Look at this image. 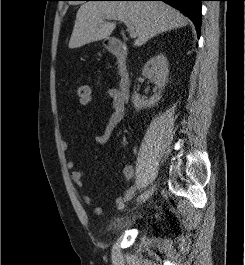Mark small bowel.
<instances>
[{
    "label": "small bowel",
    "mask_w": 245,
    "mask_h": 265,
    "mask_svg": "<svg viewBox=\"0 0 245 265\" xmlns=\"http://www.w3.org/2000/svg\"><path fill=\"white\" fill-rule=\"evenodd\" d=\"M102 95L111 101L112 105V113L108 119V122L105 126V128L97 135L96 142L99 144H103L108 141V139L111 137L115 127L121 122V120L124 117L125 114V105H126V99H124L118 89L116 88H107L102 92ZM90 105V104H89ZM88 105V106H89ZM69 144L66 141L62 142V149L68 150ZM67 167L71 169V178L74 184L78 189L84 188V177H85V171L81 169L75 168V162L73 160H69L67 162ZM123 175L126 180H131L134 176V168L131 165H127L123 169ZM136 193V188L134 186H130L122 196H119L116 199L117 205L119 203H125L129 200H131ZM82 200L87 205H93L92 198L87 195H82ZM93 213L95 215L102 214V208L100 206H94L92 209Z\"/></svg>",
    "instance_id": "obj_1"
}]
</instances>
